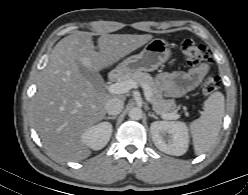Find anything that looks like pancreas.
Wrapping results in <instances>:
<instances>
[{
  "mask_svg": "<svg viewBox=\"0 0 248 195\" xmlns=\"http://www.w3.org/2000/svg\"><path fill=\"white\" fill-rule=\"evenodd\" d=\"M118 82H123L127 80H133L137 85L143 86L147 85L151 90V103L153 110L163 116L170 114H177L179 107L176 106L175 101L173 99L165 100L162 98V95L155 87L153 77L145 72H135L128 73L118 77Z\"/></svg>",
  "mask_w": 248,
  "mask_h": 195,
  "instance_id": "pancreas-1",
  "label": "pancreas"
}]
</instances>
